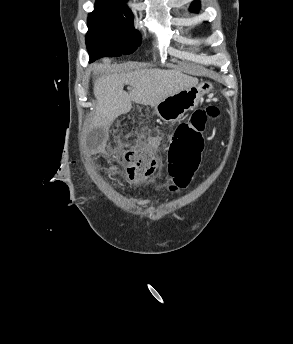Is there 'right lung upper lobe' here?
<instances>
[{
	"label": "right lung upper lobe",
	"instance_id": "right-lung-upper-lobe-1",
	"mask_svg": "<svg viewBox=\"0 0 293 344\" xmlns=\"http://www.w3.org/2000/svg\"><path fill=\"white\" fill-rule=\"evenodd\" d=\"M127 0H96V4L100 7L113 8V9H128L127 6L123 4Z\"/></svg>",
	"mask_w": 293,
	"mask_h": 344
}]
</instances>
